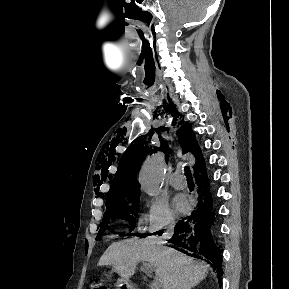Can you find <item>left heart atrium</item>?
<instances>
[{"instance_id":"39dd6f15","label":"left heart atrium","mask_w":289,"mask_h":289,"mask_svg":"<svg viewBox=\"0 0 289 289\" xmlns=\"http://www.w3.org/2000/svg\"><path fill=\"white\" fill-rule=\"evenodd\" d=\"M173 206L178 213L185 212L188 207L186 198L181 194L175 195L173 198Z\"/></svg>"}]
</instances>
